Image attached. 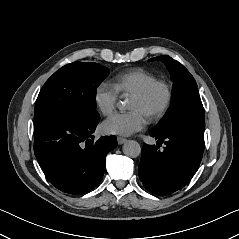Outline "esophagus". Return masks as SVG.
Returning a JSON list of instances; mask_svg holds the SVG:
<instances>
[{
	"label": "esophagus",
	"mask_w": 239,
	"mask_h": 239,
	"mask_svg": "<svg viewBox=\"0 0 239 239\" xmlns=\"http://www.w3.org/2000/svg\"><path fill=\"white\" fill-rule=\"evenodd\" d=\"M126 141H127L126 138H123V137H117V142H118L119 145L125 143Z\"/></svg>",
	"instance_id": "esophagus-1"
}]
</instances>
